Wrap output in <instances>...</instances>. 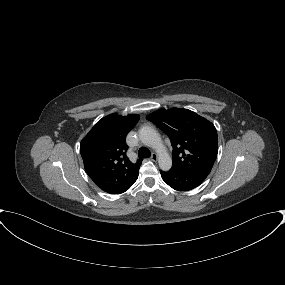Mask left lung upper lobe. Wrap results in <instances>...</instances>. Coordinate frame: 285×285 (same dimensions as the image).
Listing matches in <instances>:
<instances>
[{
  "mask_svg": "<svg viewBox=\"0 0 285 285\" xmlns=\"http://www.w3.org/2000/svg\"><path fill=\"white\" fill-rule=\"evenodd\" d=\"M171 140L172 168L182 171L210 172L218 153L217 131L214 125L187 109H159L147 117Z\"/></svg>",
  "mask_w": 285,
  "mask_h": 285,
  "instance_id": "1",
  "label": "left lung upper lobe"
}]
</instances>
